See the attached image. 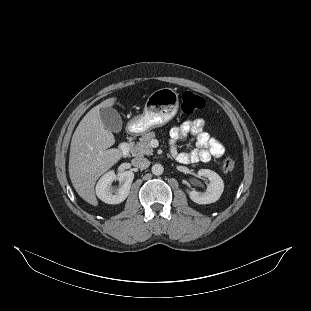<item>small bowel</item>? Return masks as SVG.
I'll return each mask as SVG.
<instances>
[{
	"label": "small bowel",
	"mask_w": 311,
	"mask_h": 311,
	"mask_svg": "<svg viewBox=\"0 0 311 311\" xmlns=\"http://www.w3.org/2000/svg\"><path fill=\"white\" fill-rule=\"evenodd\" d=\"M188 135L196 137V147L188 152H179L177 144ZM170 154L181 164L208 162L212 158H220L225 149L220 141L205 130L203 119L187 120L170 131Z\"/></svg>",
	"instance_id": "1"
}]
</instances>
